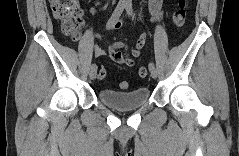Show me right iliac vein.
Masks as SVG:
<instances>
[{"label": "right iliac vein", "instance_id": "1", "mask_svg": "<svg viewBox=\"0 0 239 156\" xmlns=\"http://www.w3.org/2000/svg\"><path fill=\"white\" fill-rule=\"evenodd\" d=\"M96 74H97V67L91 68L90 72H89V77L91 80L96 78Z\"/></svg>", "mask_w": 239, "mask_h": 156}]
</instances>
